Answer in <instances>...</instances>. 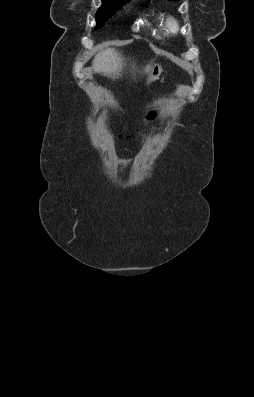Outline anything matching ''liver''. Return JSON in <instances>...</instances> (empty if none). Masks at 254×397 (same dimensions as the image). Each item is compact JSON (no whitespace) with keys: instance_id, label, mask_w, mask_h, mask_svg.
<instances>
[{"instance_id":"6515ba94","label":"liver","mask_w":254,"mask_h":397,"mask_svg":"<svg viewBox=\"0 0 254 397\" xmlns=\"http://www.w3.org/2000/svg\"><path fill=\"white\" fill-rule=\"evenodd\" d=\"M126 66L122 54L113 48H107L99 52L93 60V68L96 73L103 74L107 77L115 79L121 76L123 68ZM134 69V66H132ZM151 65L148 64L144 68L145 73H148Z\"/></svg>"}]
</instances>
